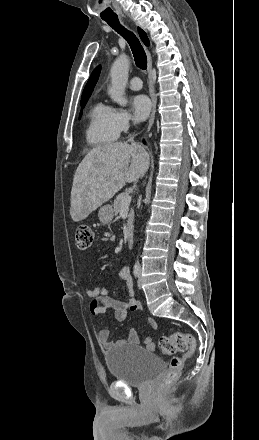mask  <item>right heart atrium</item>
<instances>
[{"label": "right heart atrium", "instance_id": "right-heart-atrium-1", "mask_svg": "<svg viewBox=\"0 0 259 440\" xmlns=\"http://www.w3.org/2000/svg\"><path fill=\"white\" fill-rule=\"evenodd\" d=\"M134 122L135 119L128 110L123 108L113 109V124L118 134L127 132Z\"/></svg>", "mask_w": 259, "mask_h": 440}]
</instances>
